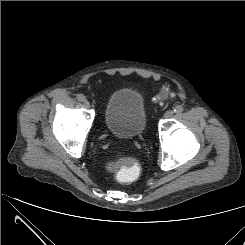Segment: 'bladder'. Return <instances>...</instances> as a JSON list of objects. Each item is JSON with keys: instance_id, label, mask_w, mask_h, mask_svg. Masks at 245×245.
<instances>
[{"instance_id": "obj_1", "label": "bladder", "mask_w": 245, "mask_h": 245, "mask_svg": "<svg viewBox=\"0 0 245 245\" xmlns=\"http://www.w3.org/2000/svg\"><path fill=\"white\" fill-rule=\"evenodd\" d=\"M106 129L120 138L140 136L147 124V112L142 95L131 88H120L108 98L104 108Z\"/></svg>"}]
</instances>
